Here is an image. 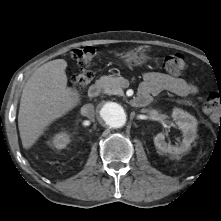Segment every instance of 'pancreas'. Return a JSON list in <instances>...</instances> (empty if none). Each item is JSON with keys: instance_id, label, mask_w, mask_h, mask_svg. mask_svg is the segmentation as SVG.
I'll return each mask as SVG.
<instances>
[{"instance_id": "1", "label": "pancreas", "mask_w": 221, "mask_h": 221, "mask_svg": "<svg viewBox=\"0 0 221 221\" xmlns=\"http://www.w3.org/2000/svg\"><path fill=\"white\" fill-rule=\"evenodd\" d=\"M98 84L103 90V93L108 95L122 94L121 80L113 75L102 76L98 80Z\"/></svg>"}]
</instances>
